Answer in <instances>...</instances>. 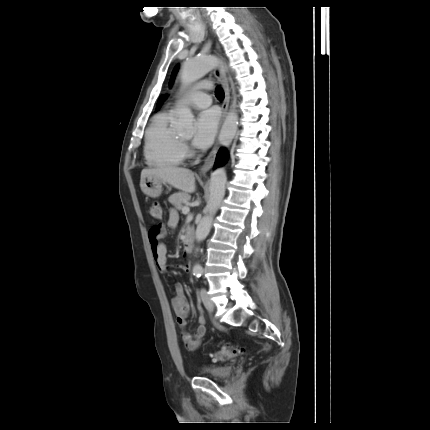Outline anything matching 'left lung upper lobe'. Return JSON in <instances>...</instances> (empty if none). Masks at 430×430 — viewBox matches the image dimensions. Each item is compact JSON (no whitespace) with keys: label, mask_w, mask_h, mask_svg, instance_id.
<instances>
[{"label":"left lung upper lobe","mask_w":430,"mask_h":430,"mask_svg":"<svg viewBox=\"0 0 430 430\" xmlns=\"http://www.w3.org/2000/svg\"><path fill=\"white\" fill-rule=\"evenodd\" d=\"M178 68H179V66L177 65V66L174 68L173 72H172L171 80H170V86L172 85V82H173L174 77H175V75H176V73H177V71H178ZM165 99H166V95H162V96L159 98V100H158V104H157V109H156V110H158V107L160 106V104H162V103L165 101Z\"/></svg>","instance_id":"5c2ea615"}]
</instances>
